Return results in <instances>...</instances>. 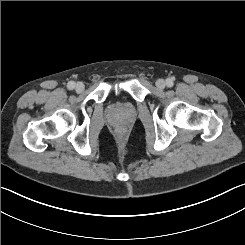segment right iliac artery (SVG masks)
<instances>
[{
  "label": "right iliac artery",
  "instance_id": "82829eb1",
  "mask_svg": "<svg viewBox=\"0 0 245 245\" xmlns=\"http://www.w3.org/2000/svg\"><path fill=\"white\" fill-rule=\"evenodd\" d=\"M68 89L72 90L75 88V83L73 81L68 82L67 84Z\"/></svg>",
  "mask_w": 245,
  "mask_h": 245
}]
</instances>
